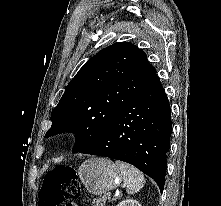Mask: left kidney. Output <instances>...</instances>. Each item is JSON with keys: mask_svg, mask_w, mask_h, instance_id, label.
<instances>
[{"mask_svg": "<svg viewBox=\"0 0 221 206\" xmlns=\"http://www.w3.org/2000/svg\"><path fill=\"white\" fill-rule=\"evenodd\" d=\"M116 206H141L140 203L136 200L133 199H126L121 201L118 205Z\"/></svg>", "mask_w": 221, "mask_h": 206, "instance_id": "5707ae66", "label": "left kidney"}]
</instances>
